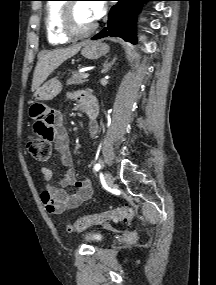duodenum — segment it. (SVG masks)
Masks as SVG:
<instances>
[{
	"label": "duodenum",
	"instance_id": "410a0bca",
	"mask_svg": "<svg viewBox=\"0 0 216 285\" xmlns=\"http://www.w3.org/2000/svg\"><path fill=\"white\" fill-rule=\"evenodd\" d=\"M84 112L89 119L93 120L97 115V107L94 104H90L85 108Z\"/></svg>",
	"mask_w": 216,
	"mask_h": 285
}]
</instances>
